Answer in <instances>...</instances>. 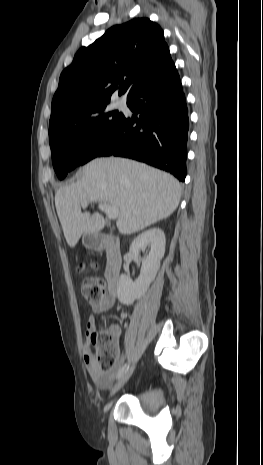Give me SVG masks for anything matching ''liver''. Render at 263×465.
Masks as SVG:
<instances>
[{"label": "liver", "instance_id": "1", "mask_svg": "<svg viewBox=\"0 0 263 465\" xmlns=\"http://www.w3.org/2000/svg\"><path fill=\"white\" fill-rule=\"evenodd\" d=\"M81 178L57 190L56 211L73 248L84 233H98L105 219L98 212H81L84 202L117 207L116 226L121 234H133L169 217L178 207L181 185L172 175L125 158H98L86 164Z\"/></svg>", "mask_w": 263, "mask_h": 465}]
</instances>
